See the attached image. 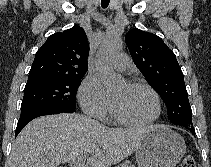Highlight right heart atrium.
Segmentation results:
<instances>
[{"label": "right heart atrium", "mask_w": 211, "mask_h": 167, "mask_svg": "<svg viewBox=\"0 0 211 167\" xmlns=\"http://www.w3.org/2000/svg\"><path fill=\"white\" fill-rule=\"evenodd\" d=\"M78 97L83 110L106 121L111 113V104L94 76H87L81 83Z\"/></svg>", "instance_id": "right-heart-atrium-1"}]
</instances>
